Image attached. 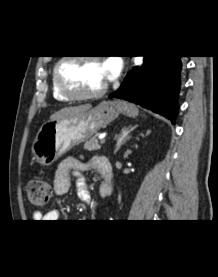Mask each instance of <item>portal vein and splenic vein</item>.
Returning <instances> with one entry per match:
<instances>
[{"label": "portal vein and splenic vein", "instance_id": "18ae733b", "mask_svg": "<svg viewBox=\"0 0 218 277\" xmlns=\"http://www.w3.org/2000/svg\"><path fill=\"white\" fill-rule=\"evenodd\" d=\"M100 143H101V144H104V143H105V138H101V139H100Z\"/></svg>", "mask_w": 218, "mask_h": 277}]
</instances>
